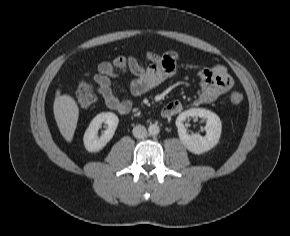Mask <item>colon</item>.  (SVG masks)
I'll list each match as a JSON object with an SVG mask.
<instances>
[{"label":"colon","instance_id":"obj_1","mask_svg":"<svg viewBox=\"0 0 290 236\" xmlns=\"http://www.w3.org/2000/svg\"><path fill=\"white\" fill-rule=\"evenodd\" d=\"M75 98L77 103L83 108L89 107L93 104L95 100L94 92L91 85L86 80L79 82L75 92ZM243 99L244 96L239 91L232 92L230 95V101L235 105L240 104Z\"/></svg>","mask_w":290,"mask_h":236}]
</instances>
